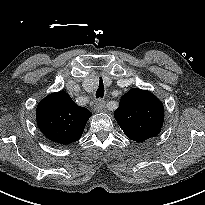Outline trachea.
<instances>
[{"mask_svg":"<svg viewBox=\"0 0 205 205\" xmlns=\"http://www.w3.org/2000/svg\"><path fill=\"white\" fill-rule=\"evenodd\" d=\"M104 84L102 78L99 80V85L96 90V98H102L104 96Z\"/></svg>","mask_w":205,"mask_h":205,"instance_id":"obj_1","label":"trachea"}]
</instances>
